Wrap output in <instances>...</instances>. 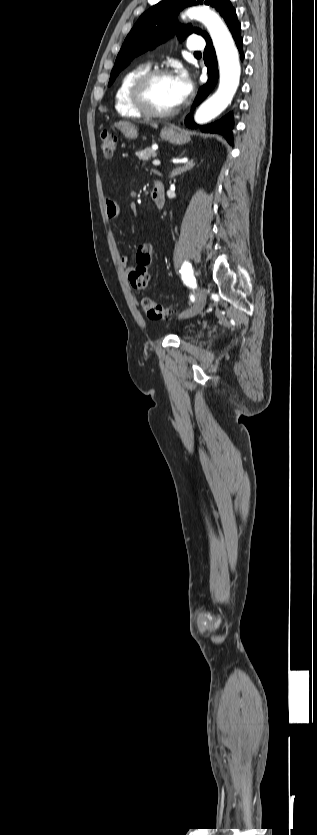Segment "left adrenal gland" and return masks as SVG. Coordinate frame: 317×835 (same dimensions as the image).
Masks as SVG:
<instances>
[{
    "mask_svg": "<svg viewBox=\"0 0 317 835\" xmlns=\"http://www.w3.org/2000/svg\"><path fill=\"white\" fill-rule=\"evenodd\" d=\"M194 166H195V162H194V160L187 161V162H186L183 166L175 168V169L171 172V174H170V178H173V177H175V176H177V175L182 174L183 172H186V171H188V170H191Z\"/></svg>",
    "mask_w": 317,
    "mask_h": 835,
    "instance_id": "1",
    "label": "left adrenal gland"
}]
</instances>
